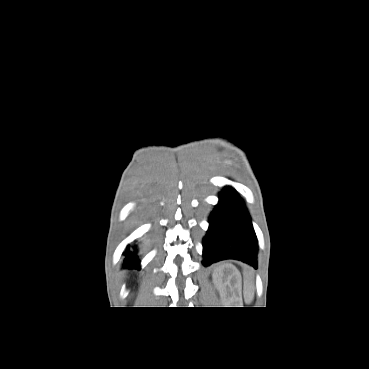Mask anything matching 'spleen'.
<instances>
[{
	"instance_id": "spleen-1",
	"label": "spleen",
	"mask_w": 369,
	"mask_h": 369,
	"mask_svg": "<svg viewBox=\"0 0 369 369\" xmlns=\"http://www.w3.org/2000/svg\"><path fill=\"white\" fill-rule=\"evenodd\" d=\"M245 289L249 292V296H253L254 294V286H253V279H252V272L248 271L245 272Z\"/></svg>"
}]
</instances>
